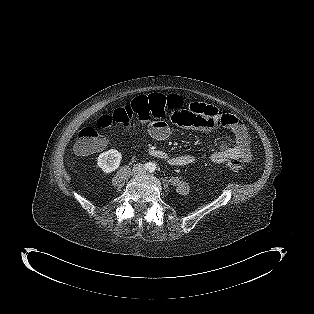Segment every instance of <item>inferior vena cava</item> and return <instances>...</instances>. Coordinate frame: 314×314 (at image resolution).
Wrapping results in <instances>:
<instances>
[{
  "label": "inferior vena cava",
  "instance_id": "1",
  "mask_svg": "<svg viewBox=\"0 0 314 314\" xmlns=\"http://www.w3.org/2000/svg\"><path fill=\"white\" fill-rule=\"evenodd\" d=\"M137 167H138V166L136 165L135 168H137ZM139 167H141V169H142V166H139ZM142 170H143V169H142Z\"/></svg>",
  "mask_w": 314,
  "mask_h": 314
}]
</instances>
